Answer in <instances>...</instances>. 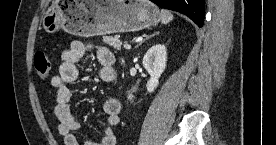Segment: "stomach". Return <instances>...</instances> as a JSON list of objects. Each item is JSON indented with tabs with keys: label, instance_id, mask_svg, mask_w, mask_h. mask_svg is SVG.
<instances>
[{
	"label": "stomach",
	"instance_id": "0dacf381",
	"mask_svg": "<svg viewBox=\"0 0 276 145\" xmlns=\"http://www.w3.org/2000/svg\"><path fill=\"white\" fill-rule=\"evenodd\" d=\"M160 12L149 0H58L45 12L44 30L63 29L80 37L139 31L158 24Z\"/></svg>",
	"mask_w": 276,
	"mask_h": 145
}]
</instances>
